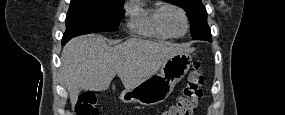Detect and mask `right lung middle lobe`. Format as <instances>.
I'll list each match as a JSON object with an SVG mask.
<instances>
[{
	"instance_id": "right-lung-middle-lobe-1",
	"label": "right lung middle lobe",
	"mask_w": 285,
	"mask_h": 115,
	"mask_svg": "<svg viewBox=\"0 0 285 115\" xmlns=\"http://www.w3.org/2000/svg\"><path fill=\"white\" fill-rule=\"evenodd\" d=\"M123 3L124 0H71L62 44L78 35L117 30L124 17Z\"/></svg>"
}]
</instances>
